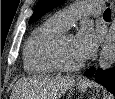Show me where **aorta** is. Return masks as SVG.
<instances>
[{"mask_svg":"<svg viewBox=\"0 0 115 99\" xmlns=\"http://www.w3.org/2000/svg\"><path fill=\"white\" fill-rule=\"evenodd\" d=\"M115 63V18L110 26L102 47L99 59V67L102 70L109 69Z\"/></svg>","mask_w":115,"mask_h":99,"instance_id":"obj_1","label":"aorta"}]
</instances>
